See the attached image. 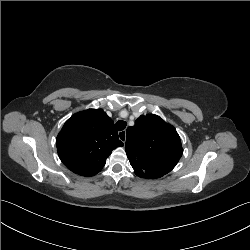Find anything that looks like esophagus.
<instances>
[{
  "mask_svg": "<svg viewBox=\"0 0 250 250\" xmlns=\"http://www.w3.org/2000/svg\"><path fill=\"white\" fill-rule=\"evenodd\" d=\"M118 136H119V139H120L123 143H125V141H126V131H125V130L120 131V132L118 133Z\"/></svg>",
  "mask_w": 250,
  "mask_h": 250,
  "instance_id": "34e87169",
  "label": "esophagus"
}]
</instances>
